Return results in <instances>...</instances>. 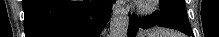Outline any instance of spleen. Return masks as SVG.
Instances as JSON below:
<instances>
[{
	"mask_svg": "<svg viewBox=\"0 0 219 37\" xmlns=\"http://www.w3.org/2000/svg\"><path fill=\"white\" fill-rule=\"evenodd\" d=\"M154 34L156 36H153V37H182L178 33H170L168 30H165V29H155Z\"/></svg>",
	"mask_w": 219,
	"mask_h": 37,
	"instance_id": "obj_1",
	"label": "spleen"
}]
</instances>
